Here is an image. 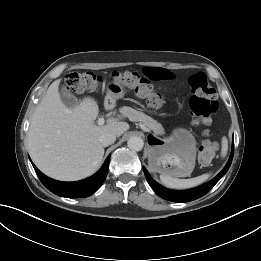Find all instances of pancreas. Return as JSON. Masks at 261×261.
<instances>
[{"instance_id": "obj_1", "label": "pancreas", "mask_w": 261, "mask_h": 261, "mask_svg": "<svg viewBox=\"0 0 261 261\" xmlns=\"http://www.w3.org/2000/svg\"><path fill=\"white\" fill-rule=\"evenodd\" d=\"M120 112L124 116L128 117L129 120L142 122L143 125L149 127L155 132L162 131V126L159 123H157L156 120L152 119L150 116H147L143 112L137 111L131 107H123L120 109Z\"/></svg>"}]
</instances>
